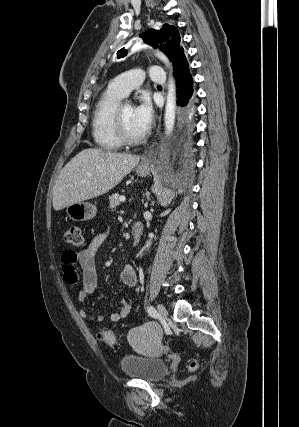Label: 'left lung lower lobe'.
<instances>
[{
  "mask_svg": "<svg viewBox=\"0 0 299 427\" xmlns=\"http://www.w3.org/2000/svg\"><path fill=\"white\" fill-rule=\"evenodd\" d=\"M173 65L177 85V105L182 108V131L187 139L185 148L189 151L192 146L190 134L194 129L195 106L192 102L193 80L183 47L178 49L173 59Z\"/></svg>",
  "mask_w": 299,
  "mask_h": 427,
  "instance_id": "0a47b994",
  "label": "left lung lower lobe"
}]
</instances>
